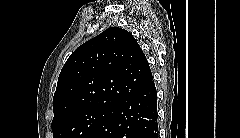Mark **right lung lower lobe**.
<instances>
[{"label": "right lung lower lobe", "mask_w": 240, "mask_h": 138, "mask_svg": "<svg viewBox=\"0 0 240 138\" xmlns=\"http://www.w3.org/2000/svg\"><path fill=\"white\" fill-rule=\"evenodd\" d=\"M154 81L122 99L104 114L89 138H158Z\"/></svg>", "instance_id": "right-lung-lower-lobe-1"}]
</instances>
